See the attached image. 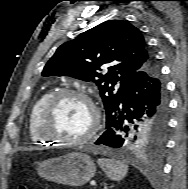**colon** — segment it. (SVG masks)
Instances as JSON below:
<instances>
[{
    "label": "colon",
    "mask_w": 188,
    "mask_h": 189,
    "mask_svg": "<svg viewBox=\"0 0 188 189\" xmlns=\"http://www.w3.org/2000/svg\"><path fill=\"white\" fill-rule=\"evenodd\" d=\"M18 189H29L27 185H21Z\"/></svg>",
    "instance_id": "1"
}]
</instances>
